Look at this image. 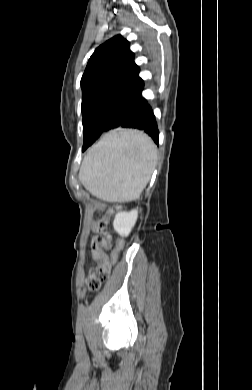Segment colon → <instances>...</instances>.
I'll list each match as a JSON object with an SVG mask.
<instances>
[{
    "label": "colon",
    "instance_id": "colon-1",
    "mask_svg": "<svg viewBox=\"0 0 252 390\" xmlns=\"http://www.w3.org/2000/svg\"><path fill=\"white\" fill-rule=\"evenodd\" d=\"M119 209V206L112 207L107 214L97 222L98 235L91 243L93 258L99 261L98 266L92 268L87 279V288L89 291H97L102 282L109 277L111 266L117 260L118 253L123 246V241L118 239L117 244L112 248V236L107 232V227L113 213ZM105 250H111L110 258L104 253Z\"/></svg>",
    "mask_w": 252,
    "mask_h": 390
}]
</instances>
